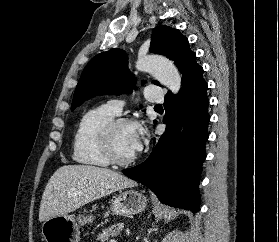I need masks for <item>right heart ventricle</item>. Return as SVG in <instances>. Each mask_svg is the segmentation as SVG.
I'll list each match as a JSON object with an SVG mask.
<instances>
[{
	"instance_id": "1",
	"label": "right heart ventricle",
	"mask_w": 279,
	"mask_h": 242,
	"mask_svg": "<svg viewBox=\"0 0 279 242\" xmlns=\"http://www.w3.org/2000/svg\"><path fill=\"white\" fill-rule=\"evenodd\" d=\"M115 117L116 114L107 106L91 109L81 117L73 139V159L75 162L93 167L110 165L99 144L98 131L102 125Z\"/></svg>"
}]
</instances>
